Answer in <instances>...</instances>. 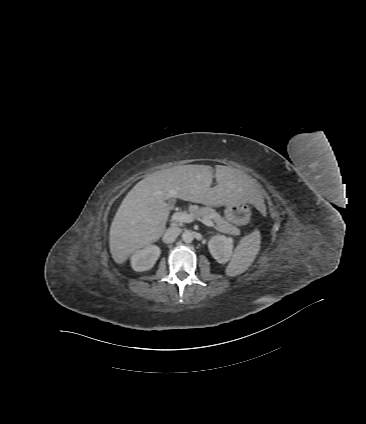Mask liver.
I'll return each mask as SVG.
<instances>
[{
	"instance_id": "6515ba94",
	"label": "liver",
	"mask_w": 366,
	"mask_h": 424,
	"mask_svg": "<svg viewBox=\"0 0 366 424\" xmlns=\"http://www.w3.org/2000/svg\"><path fill=\"white\" fill-rule=\"evenodd\" d=\"M213 177L211 166L184 165L156 171L138 182L111 223L109 247L113 260L124 264L131 254L162 236L169 216L168 199L214 207L236 201L257 207L262 204L253 180L240 170L217 165V185L211 188Z\"/></svg>"
}]
</instances>
